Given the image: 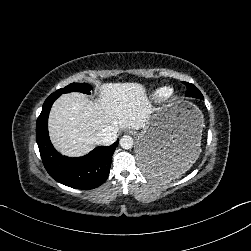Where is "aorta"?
<instances>
[{
    "mask_svg": "<svg viewBox=\"0 0 251 251\" xmlns=\"http://www.w3.org/2000/svg\"><path fill=\"white\" fill-rule=\"evenodd\" d=\"M120 146L123 148V149H130L133 147V143H134V140L131 136L129 135H124L121 139H120Z\"/></svg>",
    "mask_w": 251,
    "mask_h": 251,
    "instance_id": "762f6f07",
    "label": "aorta"
}]
</instances>
